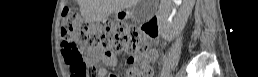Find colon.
Segmentation results:
<instances>
[{
	"label": "colon",
	"instance_id": "colon-1",
	"mask_svg": "<svg viewBox=\"0 0 258 77\" xmlns=\"http://www.w3.org/2000/svg\"><path fill=\"white\" fill-rule=\"evenodd\" d=\"M61 38L64 59L70 65L72 77H84L86 72H94L84 60V52L91 49L127 51L130 54L126 70L128 77L149 71L147 53L154 36L147 30L142 33L123 23L109 20L91 24L77 12L65 8L62 11Z\"/></svg>",
	"mask_w": 258,
	"mask_h": 77
}]
</instances>
